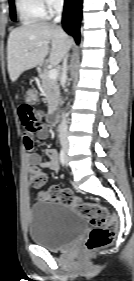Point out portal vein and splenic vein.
I'll list each match as a JSON object with an SVG mask.
<instances>
[{
    "instance_id": "18ae733b",
    "label": "portal vein and splenic vein",
    "mask_w": 134,
    "mask_h": 281,
    "mask_svg": "<svg viewBox=\"0 0 134 281\" xmlns=\"http://www.w3.org/2000/svg\"><path fill=\"white\" fill-rule=\"evenodd\" d=\"M41 46V45H38ZM48 76L50 79H56L58 76V70L57 69H50L48 72Z\"/></svg>"
}]
</instances>
